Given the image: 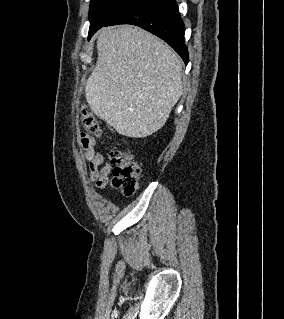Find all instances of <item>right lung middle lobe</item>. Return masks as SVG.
<instances>
[{"instance_id":"dd1d6c3e","label":"right lung middle lobe","mask_w":284,"mask_h":319,"mask_svg":"<svg viewBox=\"0 0 284 319\" xmlns=\"http://www.w3.org/2000/svg\"><path fill=\"white\" fill-rule=\"evenodd\" d=\"M134 1L135 0H91L89 9V38L114 15Z\"/></svg>"}]
</instances>
